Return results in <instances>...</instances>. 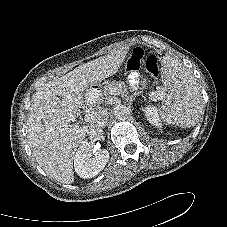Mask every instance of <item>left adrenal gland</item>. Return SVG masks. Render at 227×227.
<instances>
[{
    "instance_id": "left-adrenal-gland-1",
    "label": "left adrenal gland",
    "mask_w": 227,
    "mask_h": 227,
    "mask_svg": "<svg viewBox=\"0 0 227 227\" xmlns=\"http://www.w3.org/2000/svg\"><path fill=\"white\" fill-rule=\"evenodd\" d=\"M135 96H136V94L135 95H131L130 97H127L126 101H131L132 102L135 99Z\"/></svg>"
}]
</instances>
